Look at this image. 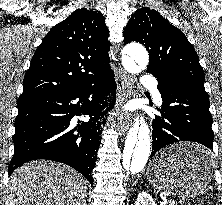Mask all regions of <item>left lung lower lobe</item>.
Instances as JSON below:
<instances>
[{"mask_svg":"<svg viewBox=\"0 0 222 205\" xmlns=\"http://www.w3.org/2000/svg\"><path fill=\"white\" fill-rule=\"evenodd\" d=\"M158 80L162 97L161 116L152 121V158L161 148L180 141H192L207 147L189 152L181 162L207 165L213 149L212 116L205 88L166 73H152Z\"/></svg>","mask_w":222,"mask_h":205,"instance_id":"0a47b994","label":"left lung lower lobe"}]
</instances>
